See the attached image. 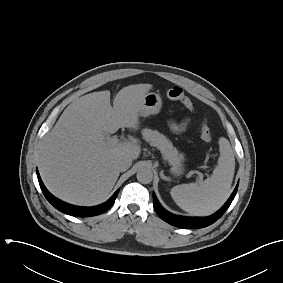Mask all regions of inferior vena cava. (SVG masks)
<instances>
[{"instance_id": "obj_1", "label": "inferior vena cava", "mask_w": 283, "mask_h": 283, "mask_svg": "<svg viewBox=\"0 0 283 283\" xmlns=\"http://www.w3.org/2000/svg\"><path fill=\"white\" fill-rule=\"evenodd\" d=\"M132 164L131 158H120L116 162V167L120 172L126 171Z\"/></svg>"}]
</instances>
